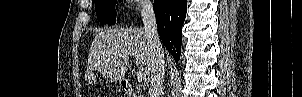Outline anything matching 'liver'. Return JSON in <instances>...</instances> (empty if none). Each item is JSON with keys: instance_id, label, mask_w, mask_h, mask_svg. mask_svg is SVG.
<instances>
[{"instance_id": "1", "label": "liver", "mask_w": 302, "mask_h": 97, "mask_svg": "<svg viewBox=\"0 0 302 97\" xmlns=\"http://www.w3.org/2000/svg\"><path fill=\"white\" fill-rule=\"evenodd\" d=\"M150 75L152 48L143 28H105L99 32L90 47L87 71L94 80V71L101 72L110 82L124 78L129 58Z\"/></svg>"}]
</instances>
